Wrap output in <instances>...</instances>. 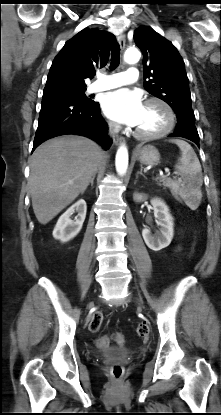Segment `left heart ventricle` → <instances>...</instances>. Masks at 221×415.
<instances>
[{
  "label": "left heart ventricle",
  "instance_id": "obj_1",
  "mask_svg": "<svg viewBox=\"0 0 221 415\" xmlns=\"http://www.w3.org/2000/svg\"><path fill=\"white\" fill-rule=\"evenodd\" d=\"M167 121V113L160 104H145L136 129L143 133H155L162 130L166 126Z\"/></svg>",
  "mask_w": 221,
  "mask_h": 415
}]
</instances>
